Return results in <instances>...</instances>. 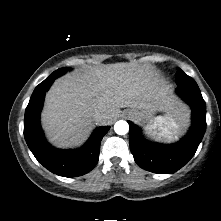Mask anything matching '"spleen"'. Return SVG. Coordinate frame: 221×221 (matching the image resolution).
<instances>
[{
	"instance_id": "spleen-1",
	"label": "spleen",
	"mask_w": 221,
	"mask_h": 221,
	"mask_svg": "<svg viewBox=\"0 0 221 221\" xmlns=\"http://www.w3.org/2000/svg\"><path fill=\"white\" fill-rule=\"evenodd\" d=\"M188 113H185L181 117H176L175 119L169 117H157V122L160 124L161 135L165 137L167 141H172L177 138V134L180 132L182 127H185L188 122ZM164 125H161V124ZM156 125L154 126V128Z\"/></svg>"
}]
</instances>
